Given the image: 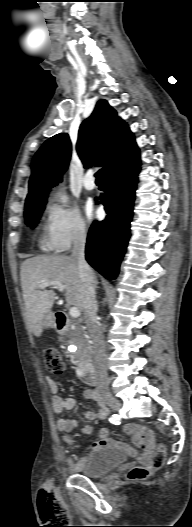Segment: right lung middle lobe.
I'll return each mask as SVG.
<instances>
[{
	"mask_svg": "<svg viewBox=\"0 0 192 527\" xmlns=\"http://www.w3.org/2000/svg\"><path fill=\"white\" fill-rule=\"evenodd\" d=\"M46 200L25 207V222L28 226L34 228L40 214L45 208Z\"/></svg>",
	"mask_w": 192,
	"mask_h": 527,
	"instance_id": "obj_1",
	"label": "right lung middle lobe"
}]
</instances>
